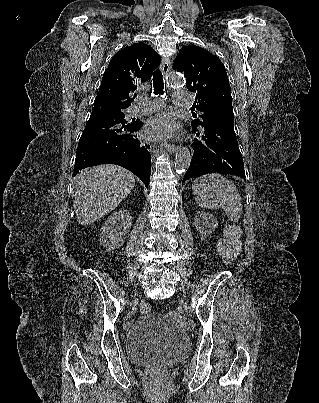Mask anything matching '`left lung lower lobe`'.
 <instances>
[{
	"instance_id": "obj_1",
	"label": "left lung lower lobe",
	"mask_w": 319,
	"mask_h": 403,
	"mask_svg": "<svg viewBox=\"0 0 319 403\" xmlns=\"http://www.w3.org/2000/svg\"><path fill=\"white\" fill-rule=\"evenodd\" d=\"M234 116H220L193 131V157L183 182L207 173L233 174L246 178L244 163L234 131Z\"/></svg>"
}]
</instances>
